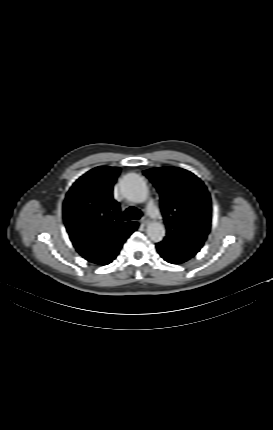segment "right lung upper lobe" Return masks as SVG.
I'll return each instance as SVG.
<instances>
[{
  "instance_id": "1",
  "label": "right lung upper lobe",
  "mask_w": 273,
  "mask_h": 430,
  "mask_svg": "<svg viewBox=\"0 0 273 430\" xmlns=\"http://www.w3.org/2000/svg\"><path fill=\"white\" fill-rule=\"evenodd\" d=\"M120 168L100 166L81 176L70 188L63 204L64 222L79 254L101 263L134 232L136 222L121 220L113 185Z\"/></svg>"
}]
</instances>
